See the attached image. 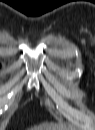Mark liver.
<instances>
[{
	"label": "liver",
	"mask_w": 95,
	"mask_h": 130,
	"mask_svg": "<svg viewBox=\"0 0 95 130\" xmlns=\"http://www.w3.org/2000/svg\"><path fill=\"white\" fill-rule=\"evenodd\" d=\"M34 130H42V129H34Z\"/></svg>",
	"instance_id": "1"
}]
</instances>
